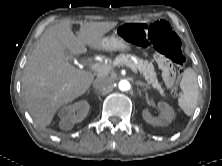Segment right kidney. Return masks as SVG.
I'll return each instance as SVG.
<instances>
[{"label": "right kidney", "mask_w": 222, "mask_h": 166, "mask_svg": "<svg viewBox=\"0 0 222 166\" xmlns=\"http://www.w3.org/2000/svg\"><path fill=\"white\" fill-rule=\"evenodd\" d=\"M90 105L86 100L62 107L58 116L61 118L59 126L62 130H71L75 123L81 122L88 114Z\"/></svg>", "instance_id": "obj_1"}]
</instances>
